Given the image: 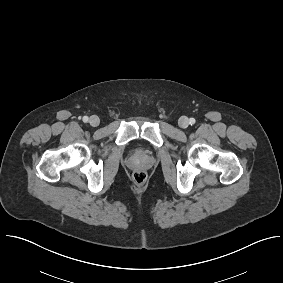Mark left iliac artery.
<instances>
[{
    "instance_id": "obj_1",
    "label": "left iliac artery",
    "mask_w": 283,
    "mask_h": 283,
    "mask_svg": "<svg viewBox=\"0 0 283 283\" xmlns=\"http://www.w3.org/2000/svg\"><path fill=\"white\" fill-rule=\"evenodd\" d=\"M195 122H196V120H195L194 118H190V119H189V123H190L191 125L195 124Z\"/></svg>"
}]
</instances>
